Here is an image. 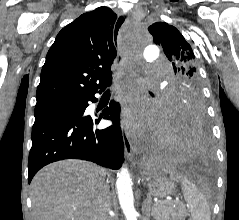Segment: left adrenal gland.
Returning <instances> with one entry per match:
<instances>
[{"mask_svg":"<svg viewBox=\"0 0 239 220\" xmlns=\"http://www.w3.org/2000/svg\"><path fill=\"white\" fill-rule=\"evenodd\" d=\"M151 208V197L148 195L142 204V212L146 217L151 216Z\"/></svg>","mask_w":239,"mask_h":220,"instance_id":"left-adrenal-gland-1","label":"left adrenal gland"}]
</instances>
